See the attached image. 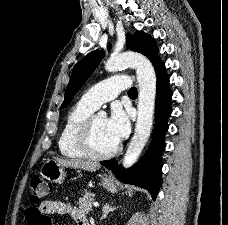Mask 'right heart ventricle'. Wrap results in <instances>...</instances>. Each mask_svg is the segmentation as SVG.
Returning <instances> with one entry per match:
<instances>
[{
	"instance_id": "obj_1",
	"label": "right heart ventricle",
	"mask_w": 228,
	"mask_h": 225,
	"mask_svg": "<svg viewBox=\"0 0 228 225\" xmlns=\"http://www.w3.org/2000/svg\"><path fill=\"white\" fill-rule=\"evenodd\" d=\"M94 110V108L83 103L81 100L76 102L69 110L58 140L61 155L70 159L90 157L89 154L79 147L77 136L83 122L93 114Z\"/></svg>"
}]
</instances>
